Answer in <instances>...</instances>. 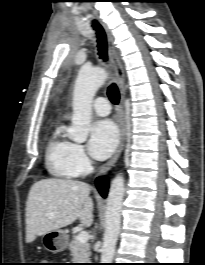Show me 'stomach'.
Listing matches in <instances>:
<instances>
[{
	"label": "stomach",
	"instance_id": "obj_1",
	"mask_svg": "<svg viewBox=\"0 0 205 265\" xmlns=\"http://www.w3.org/2000/svg\"><path fill=\"white\" fill-rule=\"evenodd\" d=\"M43 246L52 253H58L66 249L67 238L61 230L50 231L42 237Z\"/></svg>",
	"mask_w": 205,
	"mask_h": 265
}]
</instances>
